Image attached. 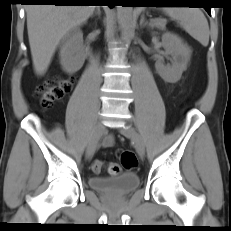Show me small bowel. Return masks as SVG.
Returning <instances> with one entry per match:
<instances>
[{
  "label": "small bowel",
  "mask_w": 231,
  "mask_h": 231,
  "mask_svg": "<svg viewBox=\"0 0 231 231\" xmlns=\"http://www.w3.org/2000/svg\"><path fill=\"white\" fill-rule=\"evenodd\" d=\"M113 144V138L111 136H108L104 139L103 141V146L104 147H109Z\"/></svg>",
  "instance_id": "small-bowel-1"
}]
</instances>
